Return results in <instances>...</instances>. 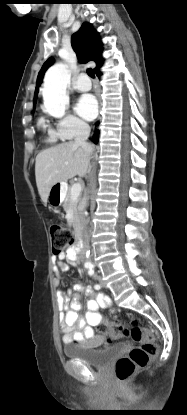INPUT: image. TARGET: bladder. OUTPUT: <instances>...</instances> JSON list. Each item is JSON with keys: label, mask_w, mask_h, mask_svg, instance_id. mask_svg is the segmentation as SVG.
Returning <instances> with one entry per match:
<instances>
[{"label": "bladder", "mask_w": 187, "mask_h": 415, "mask_svg": "<svg viewBox=\"0 0 187 415\" xmlns=\"http://www.w3.org/2000/svg\"><path fill=\"white\" fill-rule=\"evenodd\" d=\"M123 345L116 344L102 350H92L81 345H66L64 355L69 359H77L93 367L105 368L112 359L122 353Z\"/></svg>", "instance_id": "1"}]
</instances>
